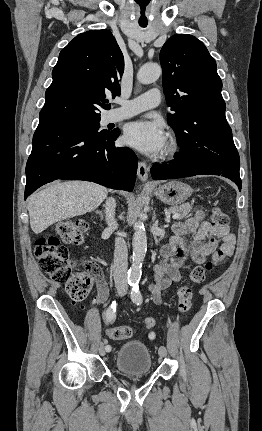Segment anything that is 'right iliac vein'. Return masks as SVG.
<instances>
[{
	"label": "right iliac vein",
	"mask_w": 262,
	"mask_h": 431,
	"mask_svg": "<svg viewBox=\"0 0 262 431\" xmlns=\"http://www.w3.org/2000/svg\"><path fill=\"white\" fill-rule=\"evenodd\" d=\"M99 354L101 356H104L106 354V348H105V346H104L103 343H101L100 346H99Z\"/></svg>",
	"instance_id": "63e3f726"
}]
</instances>
